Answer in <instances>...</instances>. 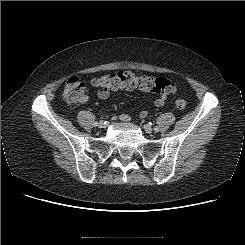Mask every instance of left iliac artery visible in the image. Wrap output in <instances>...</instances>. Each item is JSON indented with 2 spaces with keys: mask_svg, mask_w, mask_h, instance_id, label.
I'll return each instance as SVG.
<instances>
[{
  "mask_svg": "<svg viewBox=\"0 0 245 245\" xmlns=\"http://www.w3.org/2000/svg\"><path fill=\"white\" fill-rule=\"evenodd\" d=\"M149 124H152V123H149ZM154 130L157 132V131H159V128L155 127Z\"/></svg>",
  "mask_w": 245,
  "mask_h": 245,
  "instance_id": "1",
  "label": "left iliac artery"
}]
</instances>
